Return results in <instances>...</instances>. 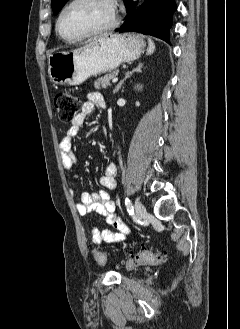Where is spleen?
I'll use <instances>...</instances> for the list:
<instances>
[{
  "label": "spleen",
  "mask_w": 240,
  "mask_h": 329,
  "mask_svg": "<svg viewBox=\"0 0 240 329\" xmlns=\"http://www.w3.org/2000/svg\"><path fill=\"white\" fill-rule=\"evenodd\" d=\"M155 50V45L151 39H149V45L147 49V55H151Z\"/></svg>",
  "instance_id": "obj_1"
}]
</instances>
